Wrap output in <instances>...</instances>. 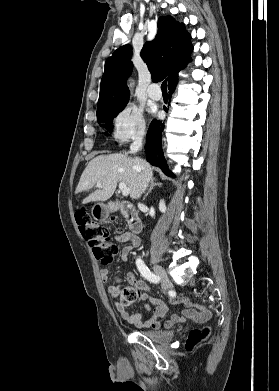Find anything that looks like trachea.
Instances as JSON below:
<instances>
[{"instance_id":"1","label":"trachea","mask_w":279,"mask_h":391,"mask_svg":"<svg viewBox=\"0 0 279 391\" xmlns=\"http://www.w3.org/2000/svg\"><path fill=\"white\" fill-rule=\"evenodd\" d=\"M161 89H162V91L167 92V80L163 81V83L161 85Z\"/></svg>"}]
</instances>
